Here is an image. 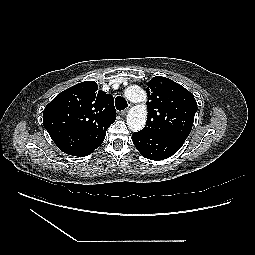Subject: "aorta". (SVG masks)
<instances>
[{"label": "aorta", "instance_id": "obj_1", "mask_svg": "<svg viewBox=\"0 0 255 255\" xmlns=\"http://www.w3.org/2000/svg\"><path fill=\"white\" fill-rule=\"evenodd\" d=\"M125 97L133 103H144L147 99L146 92L137 85L128 87L125 90ZM126 119L129 129L134 132L142 130L147 120V107L144 104L132 107Z\"/></svg>", "mask_w": 255, "mask_h": 255}]
</instances>
